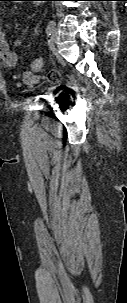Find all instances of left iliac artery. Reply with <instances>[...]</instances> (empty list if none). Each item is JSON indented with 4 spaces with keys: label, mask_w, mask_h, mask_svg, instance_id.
<instances>
[{
    "label": "left iliac artery",
    "mask_w": 127,
    "mask_h": 303,
    "mask_svg": "<svg viewBox=\"0 0 127 303\" xmlns=\"http://www.w3.org/2000/svg\"><path fill=\"white\" fill-rule=\"evenodd\" d=\"M56 23L54 20L49 21L47 28H46V33L47 35H51V32L53 29H55Z\"/></svg>",
    "instance_id": "44dca946"
}]
</instances>
